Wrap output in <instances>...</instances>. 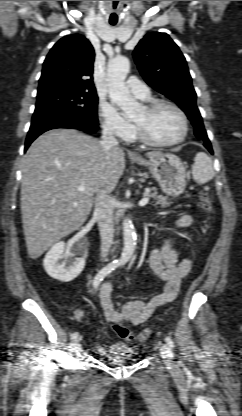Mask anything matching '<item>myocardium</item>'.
Segmentation results:
<instances>
[{
	"mask_svg": "<svg viewBox=\"0 0 242 416\" xmlns=\"http://www.w3.org/2000/svg\"><path fill=\"white\" fill-rule=\"evenodd\" d=\"M159 107H169L173 109L179 115L182 121V126H183L180 136L171 141H159V140L152 138L142 125L133 121L134 133H135L136 138L142 143H144L145 145L153 146V147H169V146H174L183 142L189 131V122H188V118L185 112L175 103L167 101V100H163V99H152L143 105V108L147 112H152Z\"/></svg>",
	"mask_w": 242,
	"mask_h": 416,
	"instance_id": "f54148a6",
	"label": "myocardium"
}]
</instances>
